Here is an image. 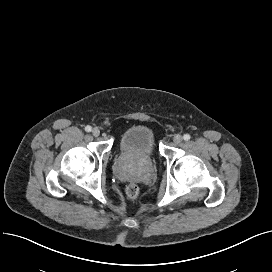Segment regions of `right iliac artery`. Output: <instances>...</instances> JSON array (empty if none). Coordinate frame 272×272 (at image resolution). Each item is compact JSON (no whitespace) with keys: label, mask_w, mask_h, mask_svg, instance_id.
Listing matches in <instances>:
<instances>
[{"label":"right iliac artery","mask_w":272,"mask_h":272,"mask_svg":"<svg viewBox=\"0 0 272 272\" xmlns=\"http://www.w3.org/2000/svg\"><path fill=\"white\" fill-rule=\"evenodd\" d=\"M85 130H86L87 132H90V131L92 130V128H91V126H86V127H85Z\"/></svg>","instance_id":"1"}]
</instances>
